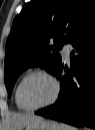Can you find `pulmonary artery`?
<instances>
[{"mask_svg":"<svg viewBox=\"0 0 95 130\" xmlns=\"http://www.w3.org/2000/svg\"><path fill=\"white\" fill-rule=\"evenodd\" d=\"M69 48H70V45L69 44H64L63 48H62V55L65 57V58H68L69 57Z\"/></svg>","mask_w":95,"mask_h":130,"instance_id":"e3ab8cb5","label":"pulmonary artery"}]
</instances>
